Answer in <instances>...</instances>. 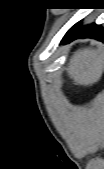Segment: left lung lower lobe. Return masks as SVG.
Wrapping results in <instances>:
<instances>
[{
	"instance_id": "0a47b994",
	"label": "left lung lower lobe",
	"mask_w": 104,
	"mask_h": 169,
	"mask_svg": "<svg viewBox=\"0 0 104 169\" xmlns=\"http://www.w3.org/2000/svg\"><path fill=\"white\" fill-rule=\"evenodd\" d=\"M81 22L76 23L64 36L63 41H72L77 38H94L97 40H104L103 31L100 25L90 24L80 28Z\"/></svg>"
}]
</instances>
